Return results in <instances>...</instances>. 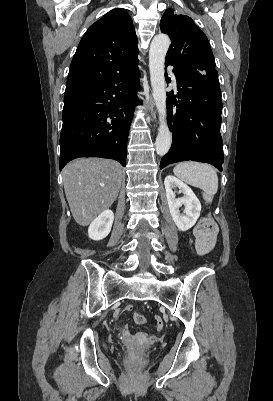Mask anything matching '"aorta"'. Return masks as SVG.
<instances>
[{
  "instance_id": "1",
  "label": "aorta",
  "mask_w": 273,
  "mask_h": 401,
  "mask_svg": "<svg viewBox=\"0 0 273 401\" xmlns=\"http://www.w3.org/2000/svg\"><path fill=\"white\" fill-rule=\"evenodd\" d=\"M170 45V39L165 34L156 35L149 50V70L153 98L159 115V128L156 137L155 148L159 156L168 153L172 134L166 122V90L164 76V62Z\"/></svg>"
}]
</instances>
